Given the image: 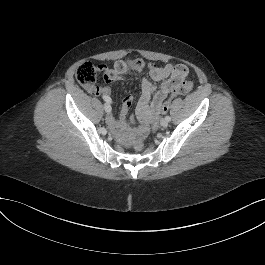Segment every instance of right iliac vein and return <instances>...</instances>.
Here are the masks:
<instances>
[{
    "label": "right iliac vein",
    "mask_w": 265,
    "mask_h": 265,
    "mask_svg": "<svg viewBox=\"0 0 265 265\" xmlns=\"http://www.w3.org/2000/svg\"><path fill=\"white\" fill-rule=\"evenodd\" d=\"M104 110H105V112L106 113H111V106H110V104H108V103H105L104 104Z\"/></svg>",
    "instance_id": "63e3f726"
}]
</instances>
